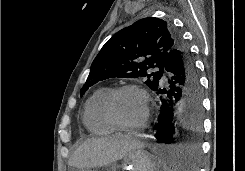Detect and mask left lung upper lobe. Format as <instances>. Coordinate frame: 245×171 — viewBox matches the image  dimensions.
I'll list each match as a JSON object with an SVG mask.
<instances>
[{
	"mask_svg": "<svg viewBox=\"0 0 245 171\" xmlns=\"http://www.w3.org/2000/svg\"><path fill=\"white\" fill-rule=\"evenodd\" d=\"M184 43L170 22L155 17L138 20L118 31L102 47L92 62L80 96L93 84L111 77H148L146 85L156 91L168 56ZM151 68L159 71L148 73Z\"/></svg>",
	"mask_w": 245,
	"mask_h": 171,
	"instance_id": "5c2ea615",
	"label": "left lung upper lobe"
}]
</instances>
